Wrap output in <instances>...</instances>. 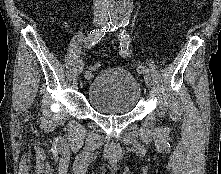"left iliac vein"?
<instances>
[{"label":"left iliac vein","instance_id":"1","mask_svg":"<svg viewBox=\"0 0 221 174\" xmlns=\"http://www.w3.org/2000/svg\"><path fill=\"white\" fill-rule=\"evenodd\" d=\"M143 73H144L145 84H146V86H147L148 88H150L151 85H152L151 77H150V75H149L148 72H143Z\"/></svg>","mask_w":221,"mask_h":174}]
</instances>
